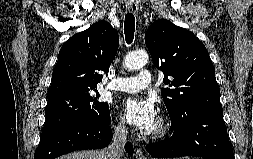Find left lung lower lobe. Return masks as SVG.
I'll return each mask as SVG.
<instances>
[{"label":"left lung lower lobe","instance_id":"left-lung-lower-lobe-1","mask_svg":"<svg viewBox=\"0 0 253 159\" xmlns=\"http://www.w3.org/2000/svg\"><path fill=\"white\" fill-rule=\"evenodd\" d=\"M173 135L146 150L156 158L197 156L205 159H235L227 136L222 108L194 107L177 123Z\"/></svg>","mask_w":253,"mask_h":159}]
</instances>
